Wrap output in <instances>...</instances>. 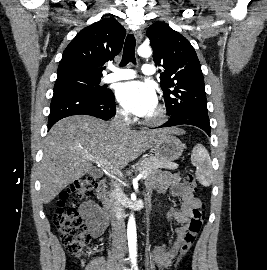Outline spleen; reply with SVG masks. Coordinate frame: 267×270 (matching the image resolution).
Returning a JSON list of instances; mask_svg holds the SVG:
<instances>
[{
  "instance_id": "spleen-1",
  "label": "spleen",
  "mask_w": 267,
  "mask_h": 270,
  "mask_svg": "<svg viewBox=\"0 0 267 270\" xmlns=\"http://www.w3.org/2000/svg\"><path fill=\"white\" fill-rule=\"evenodd\" d=\"M191 162L196 167V178L205 187L213 181V169L210 155L202 144H197L191 154Z\"/></svg>"
}]
</instances>
